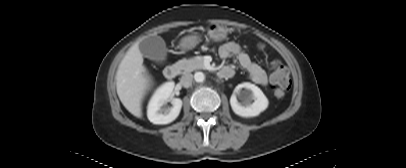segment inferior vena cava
Returning a JSON list of instances; mask_svg holds the SVG:
<instances>
[{"label": "inferior vena cava", "instance_id": "obj_1", "mask_svg": "<svg viewBox=\"0 0 406 168\" xmlns=\"http://www.w3.org/2000/svg\"><path fill=\"white\" fill-rule=\"evenodd\" d=\"M192 81H193V75H192L191 73H186V74H184V75L181 77V79H180L181 84H182L185 88L190 87L191 84H192Z\"/></svg>", "mask_w": 406, "mask_h": 168}]
</instances>
